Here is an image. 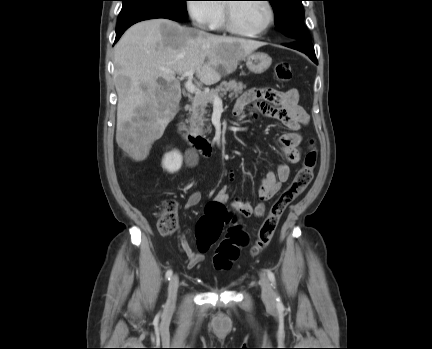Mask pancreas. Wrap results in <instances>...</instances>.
<instances>
[{"mask_svg":"<svg viewBox=\"0 0 432 349\" xmlns=\"http://www.w3.org/2000/svg\"><path fill=\"white\" fill-rule=\"evenodd\" d=\"M245 86L241 82H236L235 80L222 81L219 86L215 89H211L208 93H198L193 100L192 118L193 126L195 129L202 133H210L211 126L209 125L207 129H204L205 123L209 121L205 116L208 114V104L213 103V96H225L227 92H230L229 97H238L242 93ZM207 116H210L209 114Z\"/></svg>","mask_w":432,"mask_h":349,"instance_id":"cf45deb5","label":"pancreas"}]
</instances>
